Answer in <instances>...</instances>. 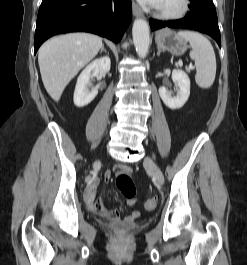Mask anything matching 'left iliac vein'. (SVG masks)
<instances>
[{"instance_id":"left-iliac-vein-1","label":"left iliac vein","mask_w":247,"mask_h":265,"mask_svg":"<svg viewBox=\"0 0 247 265\" xmlns=\"http://www.w3.org/2000/svg\"><path fill=\"white\" fill-rule=\"evenodd\" d=\"M144 166L153 175L156 183L158 185H163L164 175L161 169L157 166V164L150 157H146L144 159Z\"/></svg>"}]
</instances>
